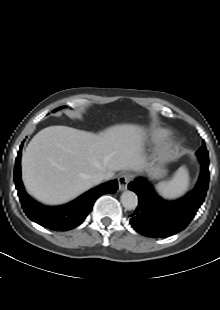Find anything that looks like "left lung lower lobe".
I'll return each instance as SVG.
<instances>
[{
    "mask_svg": "<svg viewBox=\"0 0 220 310\" xmlns=\"http://www.w3.org/2000/svg\"><path fill=\"white\" fill-rule=\"evenodd\" d=\"M209 161H201V172L195 188L183 198L166 201L160 198L143 178L128 185L139 198V205L131 216L132 227L146 237H168L190 223L202 205L209 185Z\"/></svg>",
    "mask_w": 220,
    "mask_h": 310,
    "instance_id": "0a47b994",
    "label": "left lung lower lobe"
}]
</instances>
